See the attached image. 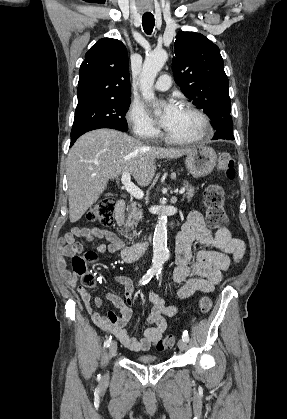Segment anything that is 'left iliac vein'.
<instances>
[{
	"instance_id": "4c4485c4",
	"label": "left iliac vein",
	"mask_w": 287,
	"mask_h": 419,
	"mask_svg": "<svg viewBox=\"0 0 287 419\" xmlns=\"http://www.w3.org/2000/svg\"><path fill=\"white\" fill-rule=\"evenodd\" d=\"M178 347L181 351L186 350L187 342L184 339H180L179 342H178Z\"/></svg>"
}]
</instances>
